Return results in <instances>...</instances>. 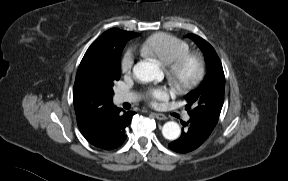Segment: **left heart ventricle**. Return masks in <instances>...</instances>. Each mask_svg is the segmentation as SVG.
I'll return each mask as SVG.
<instances>
[{"instance_id": "1", "label": "left heart ventricle", "mask_w": 288, "mask_h": 181, "mask_svg": "<svg viewBox=\"0 0 288 181\" xmlns=\"http://www.w3.org/2000/svg\"><path fill=\"white\" fill-rule=\"evenodd\" d=\"M194 64L193 63H188L183 69H182V72H181V75L183 78H190L193 73H194Z\"/></svg>"}]
</instances>
